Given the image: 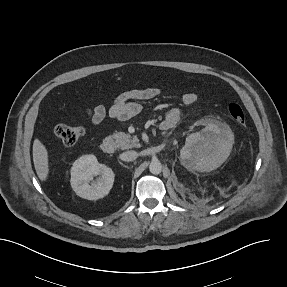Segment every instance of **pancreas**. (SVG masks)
Returning <instances> with one entry per match:
<instances>
[{
  "mask_svg": "<svg viewBox=\"0 0 287 287\" xmlns=\"http://www.w3.org/2000/svg\"><path fill=\"white\" fill-rule=\"evenodd\" d=\"M112 138L115 140L116 147L121 150L140 147L139 139L136 136L132 137L124 132H117L112 135Z\"/></svg>",
  "mask_w": 287,
  "mask_h": 287,
  "instance_id": "obj_1",
  "label": "pancreas"
}]
</instances>
